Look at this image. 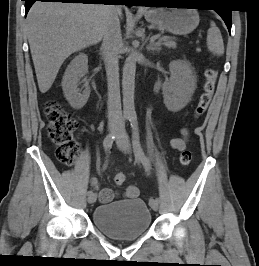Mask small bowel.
Here are the masks:
<instances>
[{
	"mask_svg": "<svg viewBox=\"0 0 259 266\" xmlns=\"http://www.w3.org/2000/svg\"><path fill=\"white\" fill-rule=\"evenodd\" d=\"M187 142H188V130L184 128L181 130V137L172 139L170 145L173 149L182 152L186 149ZM91 185L95 189H99L98 182L95 178H92ZM124 194L127 198L134 199L138 197L139 191L137 187L129 186L125 190ZM115 196L116 193L109 188H104L99 190V201L102 203L110 202Z\"/></svg>",
	"mask_w": 259,
	"mask_h": 266,
	"instance_id": "1",
	"label": "small bowel"
}]
</instances>
